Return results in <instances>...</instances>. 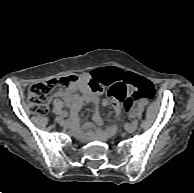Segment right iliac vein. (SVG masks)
<instances>
[{
  "mask_svg": "<svg viewBox=\"0 0 194 193\" xmlns=\"http://www.w3.org/2000/svg\"><path fill=\"white\" fill-rule=\"evenodd\" d=\"M58 123L62 126H66L67 122L63 118H58Z\"/></svg>",
  "mask_w": 194,
  "mask_h": 193,
  "instance_id": "1",
  "label": "right iliac vein"
}]
</instances>
